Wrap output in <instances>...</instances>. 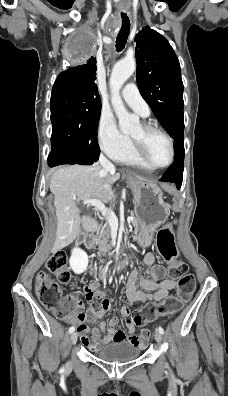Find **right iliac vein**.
I'll return each instance as SVG.
<instances>
[{
    "label": "right iliac vein",
    "mask_w": 228,
    "mask_h": 396,
    "mask_svg": "<svg viewBox=\"0 0 228 396\" xmlns=\"http://www.w3.org/2000/svg\"><path fill=\"white\" fill-rule=\"evenodd\" d=\"M77 338H78L77 333H76V332H73V333L71 334V337H70L71 343H72L73 345L77 342Z\"/></svg>",
    "instance_id": "1"
}]
</instances>
